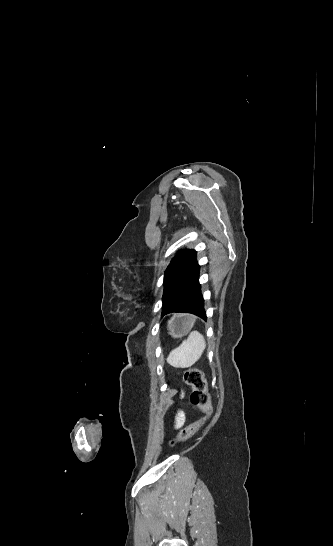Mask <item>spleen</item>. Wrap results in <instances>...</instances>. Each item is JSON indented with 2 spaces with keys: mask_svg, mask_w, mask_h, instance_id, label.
<instances>
[{
  "mask_svg": "<svg viewBox=\"0 0 333 546\" xmlns=\"http://www.w3.org/2000/svg\"><path fill=\"white\" fill-rule=\"evenodd\" d=\"M188 317L192 322L195 321L194 316ZM205 349L206 342L203 335H201L198 331H194L189 334L185 341L170 352L167 362L171 366L177 368L190 367L201 358Z\"/></svg>",
  "mask_w": 333,
  "mask_h": 546,
  "instance_id": "3e777b00",
  "label": "spleen"
}]
</instances>
